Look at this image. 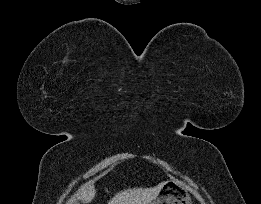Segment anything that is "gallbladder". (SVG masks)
<instances>
[{
	"label": "gallbladder",
	"instance_id": "1",
	"mask_svg": "<svg viewBox=\"0 0 261 204\" xmlns=\"http://www.w3.org/2000/svg\"><path fill=\"white\" fill-rule=\"evenodd\" d=\"M73 204H80L78 201H75Z\"/></svg>",
	"mask_w": 261,
	"mask_h": 204
}]
</instances>
